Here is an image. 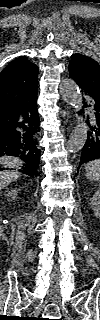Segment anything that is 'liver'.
<instances>
[{
	"instance_id": "1",
	"label": "liver",
	"mask_w": 100,
	"mask_h": 320,
	"mask_svg": "<svg viewBox=\"0 0 100 320\" xmlns=\"http://www.w3.org/2000/svg\"><path fill=\"white\" fill-rule=\"evenodd\" d=\"M1 165L4 168H9L0 172V188L3 189L19 178L20 173L14 169H19L22 166V161L17 157L5 156L1 158Z\"/></svg>"
}]
</instances>
